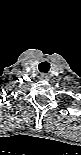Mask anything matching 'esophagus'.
<instances>
[{
  "instance_id": "esophagus-1",
  "label": "esophagus",
  "mask_w": 81,
  "mask_h": 155,
  "mask_svg": "<svg viewBox=\"0 0 81 155\" xmlns=\"http://www.w3.org/2000/svg\"><path fill=\"white\" fill-rule=\"evenodd\" d=\"M49 78H50V77H49V75H47V74H41V75H40V79H41V80L48 81Z\"/></svg>"
}]
</instances>
